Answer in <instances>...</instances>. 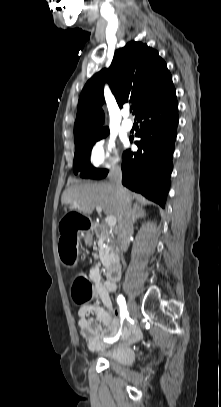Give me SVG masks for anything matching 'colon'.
Instances as JSON below:
<instances>
[{
	"label": "colon",
	"mask_w": 221,
	"mask_h": 407,
	"mask_svg": "<svg viewBox=\"0 0 221 407\" xmlns=\"http://www.w3.org/2000/svg\"><path fill=\"white\" fill-rule=\"evenodd\" d=\"M78 210H71L68 216L60 217L61 253L63 261L73 265L76 253V239L89 237L87 225L89 216H79ZM92 294V284L84 275H77L72 285V296L76 303H85Z\"/></svg>",
	"instance_id": "5ec220e1"
}]
</instances>
